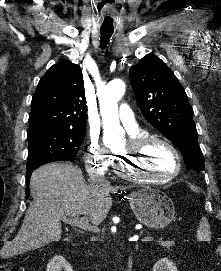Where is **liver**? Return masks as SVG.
<instances>
[{
	"instance_id": "1",
	"label": "liver",
	"mask_w": 221,
	"mask_h": 271,
	"mask_svg": "<svg viewBox=\"0 0 221 271\" xmlns=\"http://www.w3.org/2000/svg\"><path fill=\"white\" fill-rule=\"evenodd\" d=\"M30 187L34 205L26 209L16 237L4 243L2 257H13L43 247L49 241H60L64 215H89L91 223L99 225L112 205L111 197L106 195L114 191L109 183L103 185L104 193L97 185H88L80 167L73 163L41 165L33 171Z\"/></svg>"
}]
</instances>
